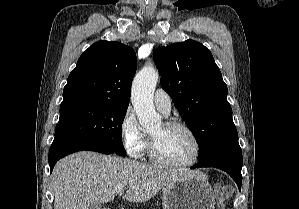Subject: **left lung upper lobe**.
I'll return each mask as SVG.
<instances>
[{
    "label": "left lung upper lobe",
    "mask_w": 299,
    "mask_h": 209,
    "mask_svg": "<svg viewBox=\"0 0 299 209\" xmlns=\"http://www.w3.org/2000/svg\"><path fill=\"white\" fill-rule=\"evenodd\" d=\"M162 88L199 145V161L226 135L236 132L227 85L209 49L194 40L154 51Z\"/></svg>",
    "instance_id": "1"
}]
</instances>
